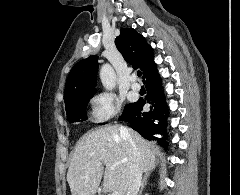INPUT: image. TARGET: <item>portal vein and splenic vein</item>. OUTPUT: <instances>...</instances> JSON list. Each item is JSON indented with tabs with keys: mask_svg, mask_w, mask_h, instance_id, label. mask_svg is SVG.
<instances>
[{
	"mask_svg": "<svg viewBox=\"0 0 240 195\" xmlns=\"http://www.w3.org/2000/svg\"><path fill=\"white\" fill-rule=\"evenodd\" d=\"M112 195H120L119 191H113Z\"/></svg>",
	"mask_w": 240,
	"mask_h": 195,
	"instance_id": "obj_1",
	"label": "portal vein and splenic vein"
}]
</instances>
